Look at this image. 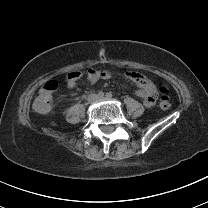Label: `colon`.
Listing matches in <instances>:
<instances>
[{"label":"colon","mask_w":208,"mask_h":208,"mask_svg":"<svg viewBox=\"0 0 208 208\" xmlns=\"http://www.w3.org/2000/svg\"><path fill=\"white\" fill-rule=\"evenodd\" d=\"M81 77H82L81 71L69 72L67 74V83L73 84L75 78H81ZM58 89H59V84L55 80H50L45 83V85L42 87V89L39 91L37 95V101L34 106L37 113L43 115L49 112L51 107L49 101L53 96V94L58 91ZM160 92L162 95L159 101V106L161 109L167 110L171 107V100L167 95L168 92L167 86L164 84L160 85Z\"/></svg>","instance_id":"colon-1"}]
</instances>
